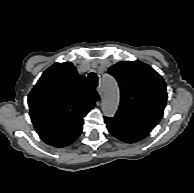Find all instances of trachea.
Returning <instances> with one entry per match:
<instances>
[{"label":"trachea","mask_w":194,"mask_h":193,"mask_svg":"<svg viewBox=\"0 0 194 193\" xmlns=\"http://www.w3.org/2000/svg\"><path fill=\"white\" fill-rule=\"evenodd\" d=\"M88 84L93 87V88H96L97 85H98V76L91 72L89 75H88Z\"/></svg>","instance_id":"obj_1"}]
</instances>
